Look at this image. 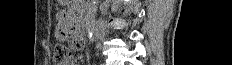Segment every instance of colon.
<instances>
[{
  "label": "colon",
  "mask_w": 232,
  "mask_h": 65,
  "mask_svg": "<svg viewBox=\"0 0 232 65\" xmlns=\"http://www.w3.org/2000/svg\"><path fill=\"white\" fill-rule=\"evenodd\" d=\"M70 57V50L66 45L57 44L54 49V60L58 65H62Z\"/></svg>",
  "instance_id": "5ec220e1"
}]
</instances>
